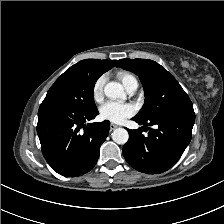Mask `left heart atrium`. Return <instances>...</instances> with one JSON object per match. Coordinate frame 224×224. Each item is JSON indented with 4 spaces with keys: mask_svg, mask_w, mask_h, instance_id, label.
Masks as SVG:
<instances>
[{
    "mask_svg": "<svg viewBox=\"0 0 224 224\" xmlns=\"http://www.w3.org/2000/svg\"><path fill=\"white\" fill-rule=\"evenodd\" d=\"M135 112L131 104L109 101L100 108V115L103 119L120 123L132 116Z\"/></svg>",
    "mask_w": 224,
    "mask_h": 224,
    "instance_id": "obj_1",
    "label": "left heart atrium"
}]
</instances>
